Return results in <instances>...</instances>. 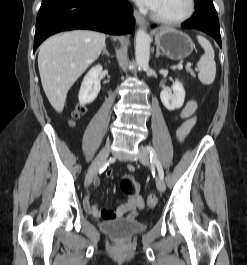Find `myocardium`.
<instances>
[{"label": "myocardium", "mask_w": 247, "mask_h": 265, "mask_svg": "<svg viewBox=\"0 0 247 265\" xmlns=\"http://www.w3.org/2000/svg\"><path fill=\"white\" fill-rule=\"evenodd\" d=\"M197 3L196 0H188L187 10L178 17H164L162 15L157 14L153 10L150 12L151 17L164 25H177L186 22L189 20L196 12Z\"/></svg>", "instance_id": "myocardium-1"}]
</instances>
